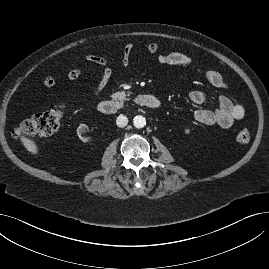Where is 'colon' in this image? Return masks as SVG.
<instances>
[{
  "label": "colon",
  "mask_w": 269,
  "mask_h": 269,
  "mask_svg": "<svg viewBox=\"0 0 269 269\" xmlns=\"http://www.w3.org/2000/svg\"><path fill=\"white\" fill-rule=\"evenodd\" d=\"M64 110V105H55L37 113L14 129V137L35 140L53 134L60 125ZM250 136V131L243 128L238 131L236 140L240 144H246L249 142Z\"/></svg>",
  "instance_id": "1"
}]
</instances>
